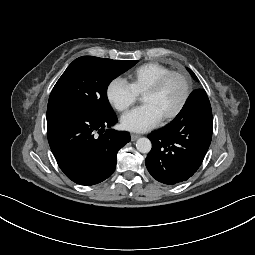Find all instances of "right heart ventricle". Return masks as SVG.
Wrapping results in <instances>:
<instances>
[{"mask_svg": "<svg viewBox=\"0 0 255 255\" xmlns=\"http://www.w3.org/2000/svg\"><path fill=\"white\" fill-rule=\"evenodd\" d=\"M170 71L169 67L157 62L145 63L130 74V84L138 94H144L155 81Z\"/></svg>", "mask_w": 255, "mask_h": 255, "instance_id": "e07e8e85", "label": "right heart ventricle"}]
</instances>
